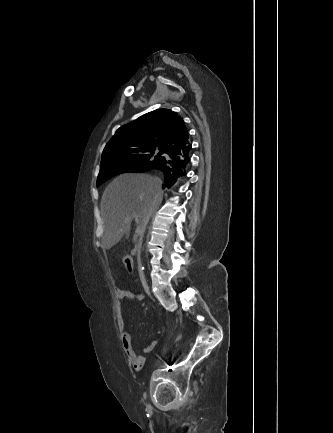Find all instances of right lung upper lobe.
I'll list each match as a JSON object with an SVG mask.
<instances>
[{"mask_svg": "<svg viewBox=\"0 0 333 433\" xmlns=\"http://www.w3.org/2000/svg\"><path fill=\"white\" fill-rule=\"evenodd\" d=\"M184 121L170 109H157L121 126L106 144L102 159L128 149H160L164 153L187 146Z\"/></svg>", "mask_w": 333, "mask_h": 433, "instance_id": "obj_1", "label": "right lung upper lobe"}]
</instances>
